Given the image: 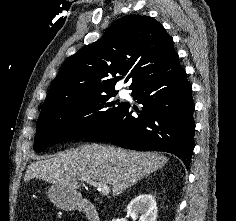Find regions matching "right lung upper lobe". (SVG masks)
Masks as SVG:
<instances>
[{
    "instance_id": "1",
    "label": "right lung upper lobe",
    "mask_w": 236,
    "mask_h": 221,
    "mask_svg": "<svg viewBox=\"0 0 236 221\" xmlns=\"http://www.w3.org/2000/svg\"><path fill=\"white\" fill-rule=\"evenodd\" d=\"M176 55L172 38L157 20L136 14L120 18L102 38L66 59L42 110L115 91L116 83L126 74L132 88L168 65Z\"/></svg>"
}]
</instances>
